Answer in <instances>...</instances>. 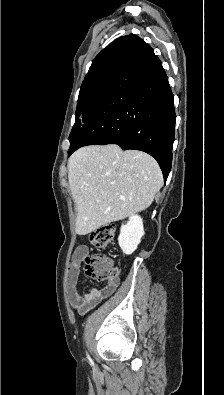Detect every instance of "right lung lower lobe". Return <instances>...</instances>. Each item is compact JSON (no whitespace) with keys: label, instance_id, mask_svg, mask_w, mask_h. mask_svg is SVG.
Listing matches in <instances>:
<instances>
[{"label":"right lung lower lobe","instance_id":"obj_1","mask_svg":"<svg viewBox=\"0 0 224 395\" xmlns=\"http://www.w3.org/2000/svg\"><path fill=\"white\" fill-rule=\"evenodd\" d=\"M175 122L168 77L153 49L143 42L68 154L93 144L141 150L157 160L166 181Z\"/></svg>","mask_w":224,"mask_h":395}]
</instances>
